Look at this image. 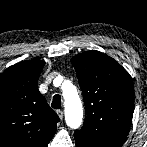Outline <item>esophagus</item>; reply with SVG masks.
<instances>
[{
    "label": "esophagus",
    "instance_id": "34e87169",
    "mask_svg": "<svg viewBox=\"0 0 147 147\" xmlns=\"http://www.w3.org/2000/svg\"><path fill=\"white\" fill-rule=\"evenodd\" d=\"M56 113L59 116L60 120H63V117H64L63 111L62 110H57Z\"/></svg>",
    "mask_w": 147,
    "mask_h": 147
}]
</instances>
